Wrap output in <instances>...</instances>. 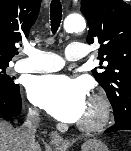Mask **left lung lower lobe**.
<instances>
[{"instance_id": "1", "label": "left lung lower lobe", "mask_w": 131, "mask_h": 151, "mask_svg": "<svg viewBox=\"0 0 131 151\" xmlns=\"http://www.w3.org/2000/svg\"><path fill=\"white\" fill-rule=\"evenodd\" d=\"M116 130H131V116H127L123 119H115V124L108 128L105 133H111Z\"/></svg>"}]
</instances>
